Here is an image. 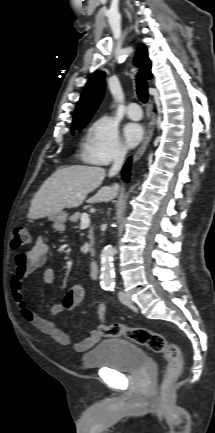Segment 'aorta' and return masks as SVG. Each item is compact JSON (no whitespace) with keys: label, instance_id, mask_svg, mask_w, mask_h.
Instances as JSON below:
<instances>
[{"label":"aorta","instance_id":"762f6f07","mask_svg":"<svg viewBox=\"0 0 215 433\" xmlns=\"http://www.w3.org/2000/svg\"><path fill=\"white\" fill-rule=\"evenodd\" d=\"M114 255L115 250L111 245L104 247L101 252V283L107 287H112L114 284Z\"/></svg>","mask_w":215,"mask_h":433}]
</instances>
